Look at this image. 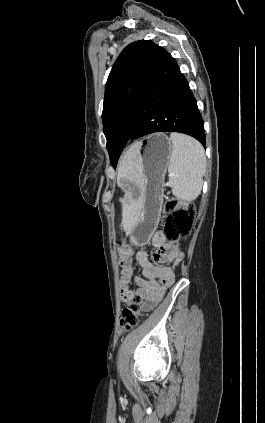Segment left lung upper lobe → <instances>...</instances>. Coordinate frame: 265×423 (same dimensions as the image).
Here are the masks:
<instances>
[{"label": "left lung upper lobe", "instance_id": "left-lung-upper-lobe-1", "mask_svg": "<svg viewBox=\"0 0 265 423\" xmlns=\"http://www.w3.org/2000/svg\"><path fill=\"white\" fill-rule=\"evenodd\" d=\"M161 47L140 40L123 49L109 74L103 104V132L111 165L115 168L132 128L142 87Z\"/></svg>", "mask_w": 265, "mask_h": 423}]
</instances>
